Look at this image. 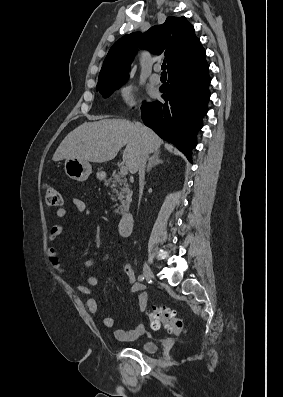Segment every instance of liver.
<instances>
[{
  "label": "liver",
  "mask_w": 283,
  "mask_h": 397,
  "mask_svg": "<svg viewBox=\"0 0 283 397\" xmlns=\"http://www.w3.org/2000/svg\"><path fill=\"white\" fill-rule=\"evenodd\" d=\"M144 135L133 122L123 119H103L85 122L70 132L53 155L54 161L77 158L102 163L115 158L126 146L123 161L131 174L138 171L142 152L159 151L162 140L149 128L142 126Z\"/></svg>",
  "instance_id": "obj_1"
}]
</instances>
